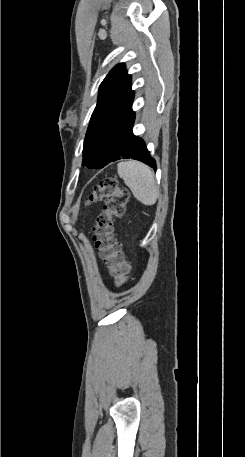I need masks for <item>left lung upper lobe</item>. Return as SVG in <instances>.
I'll use <instances>...</instances> for the list:
<instances>
[{
    "label": "left lung upper lobe",
    "mask_w": 245,
    "mask_h": 457,
    "mask_svg": "<svg viewBox=\"0 0 245 457\" xmlns=\"http://www.w3.org/2000/svg\"><path fill=\"white\" fill-rule=\"evenodd\" d=\"M133 99L131 76L127 74L123 63L118 64L100 85L98 102L87 133L99 125L111 122L123 113L133 112L131 108Z\"/></svg>",
    "instance_id": "1"
}]
</instances>
